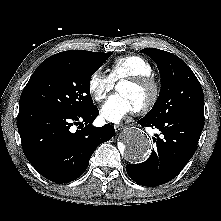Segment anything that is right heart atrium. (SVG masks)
Segmentation results:
<instances>
[{
	"label": "right heart atrium",
	"mask_w": 221,
	"mask_h": 221,
	"mask_svg": "<svg viewBox=\"0 0 221 221\" xmlns=\"http://www.w3.org/2000/svg\"><path fill=\"white\" fill-rule=\"evenodd\" d=\"M115 82L101 70L94 71L88 80V91L95 101H103L113 90Z\"/></svg>",
	"instance_id": "obj_1"
}]
</instances>
